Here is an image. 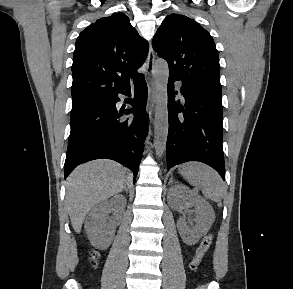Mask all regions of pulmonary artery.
Here are the masks:
<instances>
[{
    "label": "pulmonary artery",
    "instance_id": "e3ab8cb5",
    "mask_svg": "<svg viewBox=\"0 0 293 289\" xmlns=\"http://www.w3.org/2000/svg\"><path fill=\"white\" fill-rule=\"evenodd\" d=\"M177 85H178V87H180V83L179 82H177Z\"/></svg>",
    "mask_w": 293,
    "mask_h": 289
}]
</instances>
